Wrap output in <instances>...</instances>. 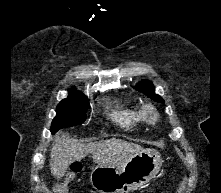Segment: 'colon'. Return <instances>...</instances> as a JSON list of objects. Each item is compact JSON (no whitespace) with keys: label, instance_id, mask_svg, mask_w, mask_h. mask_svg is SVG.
Segmentation results:
<instances>
[{"label":"colon","instance_id":"colon-1","mask_svg":"<svg viewBox=\"0 0 221 193\" xmlns=\"http://www.w3.org/2000/svg\"><path fill=\"white\" fill-rule=\"evenodd\" d=\"M77 169H78L77 167H74V168H73L74 171H76Z\"/></svg>","mask_w":221,"mask_h":193}]
</instances>
